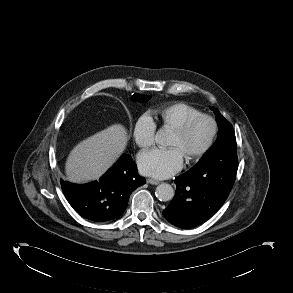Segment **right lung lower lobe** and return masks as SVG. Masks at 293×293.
Wrapping results in <instances>:
<instances>
[{
  "label": "right lung lower lobe",
  "mask_w": 293,
  "mask_h": 293,
  "mask_svg": "<svg viewBox=\"0 0 293 293\" xmlns=\"http://www.w3.org/2000/svg\"><path fill=\"white\" fill-rule=\"evenodd\" d=\"M145 183L137 174L131 156L123 154L99 181L77 185L61 180V187L78 214L91 221L104 222L120 216L132 191Z\"/></svg>",
  "instance_id": "right-lung-lower-lobe-1"
}]
</instances>
